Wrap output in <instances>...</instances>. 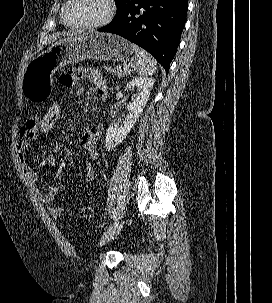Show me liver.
Masks as SVG:
<instances>
[{"mask_svg":"<svg viewBox=\"0 0 272 303\" xmlns=\"http://www.w3.org/2000/svg\"><path fill=\"white\" fill-rule=\"evenodd\" d=\"M67 36H68V34H67ZM57 40V37H55L54 39H53V41H56Z\"/></svg>","mask_w":272,"mask_h":303,"instance_id":"liver-1","label":"liver"}]
</instances>
